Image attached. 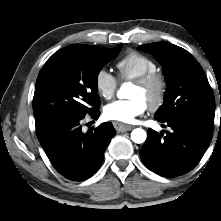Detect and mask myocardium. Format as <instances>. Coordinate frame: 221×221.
Masks as SVG:
<instances>
[{
  "label": "myocardium",
  "mask_w": 221,
  "mask_h": 221,
  "mask_svg": "<svg viewBox=\"0 0 221 221\" xmlns=\"http://www.w3.org/2000/svg\"><path fill=\"white\" fill-rule=\"evenodd\" d=\"M132 83L140 88L152 90V95L146 104L149 110L156 111L162 106L167 92V80L161 72L144 74L132 80Z\"/></svg>",
  "instance_id": "1"
}]
</instances>
